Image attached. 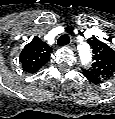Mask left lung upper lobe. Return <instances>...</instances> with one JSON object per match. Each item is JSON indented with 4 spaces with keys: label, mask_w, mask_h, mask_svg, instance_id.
Segmentation results:
<instances>
[{
    "label": "left lung upper lobe",
    "mask_w": 115,
    "mask_h": 119,
    "mask_svg": "<svg viewBox=\"0 0 115 119\" xmlns=\"http://www.w3.org/2000/svg\"><path fill=\"white\" fill-rule=\"evenodd\" d=\"M93 49L94 63L89 69H84V73L107 79L115 72V51L107 44L98 40L95 36L88 40Z\"/></svg>",
    "instance_id": "left-lung-upper-lobe-1"
}]
</instances>
